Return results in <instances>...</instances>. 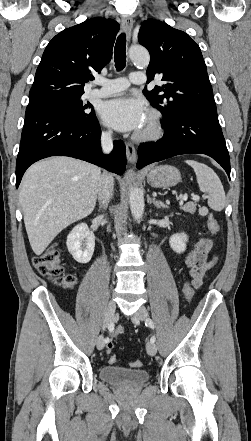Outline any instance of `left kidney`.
Returning a JSON list of instances; mask_svg holds the SVG:
<instances>
[{
	"label": "left kidney",
	"mask_w": 251,
	"mask_h": 441,
	"mask_svg": "<svg viewBox=\"0 0 251 441\" xmlns=\"http://www.w3.org/2000/svg\"><path fill=\"white\" fill-rule=\"evenodd\" d=\"M188 237L185 233L173 234L169 239V244L172 250L178 254L186 250V242Z\"/></svg>",
	"instance_id": "5707ae66"
}]
</instances>
